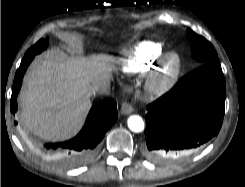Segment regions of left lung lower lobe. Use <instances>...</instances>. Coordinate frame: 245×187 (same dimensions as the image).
Here are the masks:
<instances>
[{
	"instance_id": "1",
	"label": "left lung lower lobe",
	"mask_w": 245,
	"mask_h": 187,
	"mask_svg": "<svg viewBox=\"0 0 245 187\" xmlns=\"http://www.w3.org/2000/svg\"><path fill=\"white\" fill-rule=\"evenodd\" d=\"M225 97V79L217 60L181 78L147 107V155L174 159L208 142L222 126Z\"/></svg>"
}]
</instances>
